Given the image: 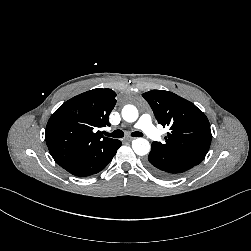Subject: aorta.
<instances>
[{
    "label": "aorta",
    "instance_id": "aorta-1",
    "mask_svg": "<svg viewBox=\"0 0 251 251\" xmlns=\"http://www.w3.org/2000/svg\"><path fill=\"white\" fill-rule=\"evenodd\" d=\"M122 117L127 122H135L138 119V110L133 105H126L122 109ZM150 143L145 138H137L132 142L133 151L140 156L146 155L150 151Z\"/></svg>",
    "mask_w": 251,
    "mask_h": 251
}]
</instances>
